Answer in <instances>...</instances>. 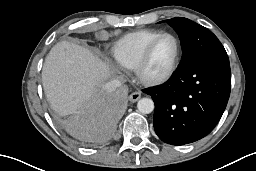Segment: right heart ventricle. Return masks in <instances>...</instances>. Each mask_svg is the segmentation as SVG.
<instances>
[{
	"label": "right heart ventricle",
	"instance_id": "obj_1",
	"mask_svg": "<svg viewBox=\"0 0 256 171\" xmlns=\"http://www.w3.org/2000/svg\"><path fill=\"white\" fill-rule=\"evenodd\" d=\"M162 32L155 29H140L119 38L111 48L116 63L126 69H134L146 45Z\"/></svg>",
	"mask_w": 256,
	"mask_h": 171
}]
</instances>
